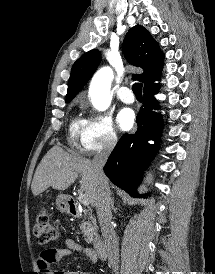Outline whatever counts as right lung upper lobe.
<instances>
[{
	"mask_svg": "<svg viewBox=\"0 0 215 274\" xmlns=\"http://www.w3.org/2000/svg\"><path fill=\"white\" fill-rule=\"evenodd\" d=\"M122 49L131 64L143 68L144 72L137 74L134 78L144 83V89L158 86L154 82L160 79L164 55L149 31L141 25L132 27L124 39ZM100 58V51L93 49L82 55L73 64L66 102H70L86 85L95 72Z\"/></svg>",
	"mask_w": 215,
	"mask_h": 274,
	"instance_id": "1",
	"label": "right lung upper lobe"
}]
</instances>
